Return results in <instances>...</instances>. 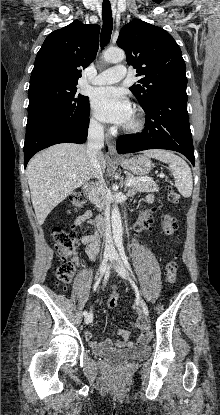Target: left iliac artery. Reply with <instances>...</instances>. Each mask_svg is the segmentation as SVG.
<instances>
[{"instance_id": "1", "label": "left iliac artery", "mask_w": 220, "mask_h": 415, "mask_svg": "<svg viewBox=\"0 0 220 415\" xmlns=\"http://www.w3.org/2000/svg\"><path fill=\"white\" fill-rule=\"evenodd\" d=\"M118 250H119V254H120V256H121V258H122V260H123V262H124L125 267H126V268H128V269L130 270V272H131V274H132L133 279H134V280H136L135 275L133 274V272H132V270H131V267H130V265H129V262H128V259H127V256H126V254H125L123 244H119V245H118ZM145 313H146V315H149V311H146Z\"/></svg>"}]
</instances>
